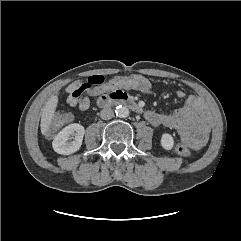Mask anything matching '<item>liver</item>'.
<instances>
[{
    "mask_svg": "<svg viewBox=\"0 0 241 241\" xmlns=\"http://www.w3.org/2000/svg\"><path fill=\"white\" fill-rule=\"evenodd\" d=\"M58 105V96H52L49 101L46 103L41 115V133L45 135L52 123L53 117L55 115V110Z\"/></svg>",
    "mask_w": 241,
    "mask_h": 241,
    "instance_id": "obj_1",
    "label": "liver"
}]
</instances>
